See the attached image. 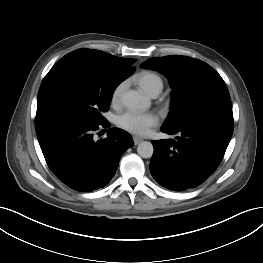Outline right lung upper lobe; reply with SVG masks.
Wrapping results in <instances>:
<instances>
[{"label": "right lung upper lobe", "instance_id": "1", "mask_svg": "<svg viewBox=\"0 0 263 263\" xmlns=\"http://www.w3.org/2000/svg\"><path fill=\"white\" fill-rule=\"evenodd\" d=\"M68 56H80V57H85L91 60H95L97 62L111 65L114 67L122 68L128 72L133 73L135 71L134 68L131 67V65L136 61L134 59L130 58H120L113 56L111 54H108L103 51H98V50H88V49H79L76 51H73L69 54Z\"/></svg>", "mask_w": 263, "mask_h": 263}]
</instances>
